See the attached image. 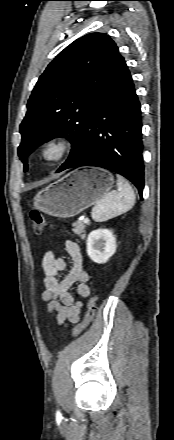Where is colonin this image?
Instances as JSON below:
<instances>
[{
    "instance_id": "colon-1",
    "label": "colon",
    "mask_w": 174,
    "mask_h": 440,
    "mask_svg": "<svg viewBox=\"0 0 174 440\" xmlns=\"http://www.w3.org/2000/svg\"><path fill=\"white\" fill-rule=\"evenodd\" d=\"M30 220L36 232H40L41 230H43L44 228L50 225L47 217L36 210L31 211ZM95 303H96V296L92 295L88 299L87 311L83 321L80 322L73 330V337H78L79 335H81L92 322L96 309Z\"/></svg>"
}]
</instances>
